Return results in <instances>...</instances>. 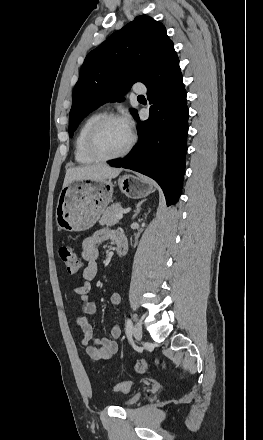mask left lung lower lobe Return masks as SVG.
I'll use <instances>...</instances> for the list:
<instances>
[{
    "mask_svg": "<svg viewBox=\"0 0 263 440\" xmlns=\"http://www.w3.org/2000/svg\"><path fill=\"white\" fill-rule=\"evenodd\" d=\"M150 116L139 121V141L124 158L109 161L153 178L163 189L167 205L181 194L185 172L188 108L178 58L160 69L145 84ZM135 118L139 117L136 114Z\"/></svg>",
    "mask_w": 263,
    "mask_h": 440,
    "instance_id": "left-lung-lower-lobe-1",
    "label": "left lung lower lobe"
}]
</instances>
